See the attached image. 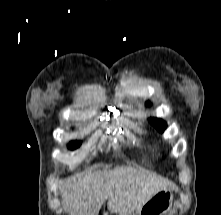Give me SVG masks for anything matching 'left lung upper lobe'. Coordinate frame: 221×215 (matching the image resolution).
I'll return each instance as SVG.
<instances>
[{"instance_id": "1", "label": "left lung upper lobe", "mask_w": 221, "mask_h": 215, "mask_svg": "<svg viewBox=\"0 0 221 215\" xmlns=\"http://www.w3.org/2000/svg\"><path fill=\"white\" fill-rule=\"evenodd\" d=\"M150 123L161 133L164 132V130L166 129V123L158 118H150L149 119Z\"/></svg>"}]
</instances>
